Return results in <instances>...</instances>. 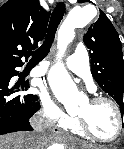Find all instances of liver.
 Returning a JSON list of instances; mask_svg holds the SVG:
<instances>
[{"mask_svg": "<svg viewBox=\"0 0 124 149\" xmlns=\"http://www.w3.org/2000/svg\"><path fill=\"white\" fill-rule=\"evenodd\" d=\"M31 134L28 133H12L0 136V149H29V146H36V149H42L47 140L45 137L37 139V145H30ZM89 149V147H87Z\"/></svg>", "mask_w": 124, "mask_h": 149, "instance_id": "1", "label": "liver"}]
</instances>
